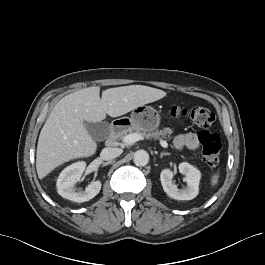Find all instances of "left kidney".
<instances>
[{"mask_svg": "<svg viewBox=\"0 0 265 265\" xmlns=\"http://www.w3.org/2000/svg\"><path fill=\"white\" fill-rule=\"evenodd\" d=\"M178 169L180 173L186 176L187 187L178 189L177 186L172 183L173 172L170 169H163L160 174L163 190L173 199L192 200L198 195L201 173L197 168L187 162L180 163Z\"/></svg>", "mask_w": 265, "mask_h": 265, "instance_id": "obj_1", "label": "left kidney"}]
</instances>
